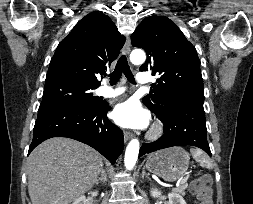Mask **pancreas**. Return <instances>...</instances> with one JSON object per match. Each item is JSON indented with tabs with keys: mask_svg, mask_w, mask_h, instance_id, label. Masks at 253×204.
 <instances>
[{
	"mask_svg": "<svg viewBox=\"0 0 253 204\" xmlns=\"http://www.w3.org/2000/svg\"><path fill=\"white\" fill-rule=\"evenodd\" d=\"M188 187L187 184H182L177 188L173 189V192L181 194V195H185V189Z\"/></svg>",
	"mask_w": 253,
	"mask_h": 204,
	"instance_id": "cf45deb5",
	"label": "pancreas"
}]
</instances>
